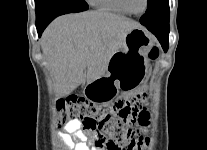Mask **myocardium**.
I'll list each match as a JSON object with an SVG mask.
<instances>
[{"mask_svg": "<svg viewBox=\"0 0 207 150\" xmlns=\"http://www.w3.org/2000/svg\"><path fill=\"white\" fill-rule=\"evenodd\" d=\"M123 5L125 6V8L129 11V13L134 14V15H141L144 14L147 9H148V0H145V7L141 12H135L131 9L130 4H129V0H121Z\"/></svg>", "mask_w": 207, "mask_h": 150, "instance_id": "obj_1", "label": "myocardium"}]
</instances>
